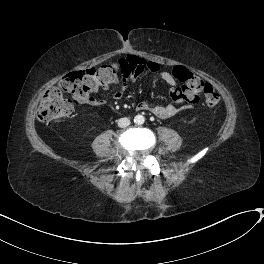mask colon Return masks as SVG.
<instances>
[{
    "instance_id": "obj_1",
    "label": "colon",
    "mask_w": 264,
    "mask_h": 264,
    "mask_svg": "<svg viewBox=\"0 0 264 264\" xmlns=\"http://www.w3.org/2000/svg\"><path fill=\"white\" fill-rule=\"evenodd\" d=\"M124 68V61L106 62L95 68L72 71L61 77L58 83L48 89L37 109V117L45 124H51L68 117L82 99L95 89L109 83L111 77ZM173 76L182 86L169 91L170 98L176 103H191L196 100L199 88H202L205 101L215 106L220 99L219 93L209 84L202 82L182 67L172 71ZM202 84V85H201Z\"/></svg>"
}]
</instances>
